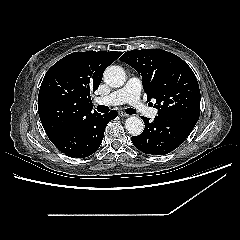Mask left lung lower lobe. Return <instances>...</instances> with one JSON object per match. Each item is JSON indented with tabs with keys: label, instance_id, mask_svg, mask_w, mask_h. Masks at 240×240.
I'll list each match as a JSON object with an SVG mask.
<instances>
[{
	"label": "left lung lower lobe",
	"instance_id": "left-lung-lower-lobe-1",
	"mask_svg": "<svg viewBox=\"0 0 240 240\" xmlns=\"http://www.w3.org/2000/svg\"><path fill=\"white\" fill-rule=\"evenodd\" d=\"M145 129L132 136L134 146L146 154L164 155L176 149L190 135L199 119L197 114L158 115L150 122L142 117Z\"/></svg>",
	"mask_w": 240,
	"mask_h": 240
}]
</instances>
